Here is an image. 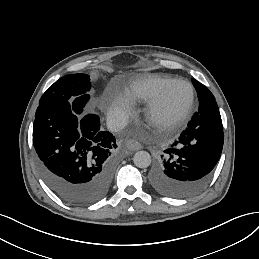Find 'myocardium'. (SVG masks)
Returning a JSON list of instances; mask_svg holds the SVG:
<instances>
[{
    "instance_id": "1",
    "label": "myocardium",
    "mask_w": 259,
    "mask_h": 259,
    "mask_svg": "<svg viewBox=\"0 0 259 259\" xmlns=\"http://www.w3.org/2000/svg\"><path fill=\"white\" fill-rule=\"evenodd\" d=\"M160 82L170 83V82H176V81H182L188 85L191 92V97L188 102V104L176 115L172 116L171 118L166 119L163 121V125L167 127L169 130H175L177 129L192 113V111L195 108L196 105V89L193 85V83L181 76H171L167 79H158ZM145 105H146V111L150 116H153L158 106L155 101L149 99L147 96L145 97Z\"/></svg>"
}]
</instances>
